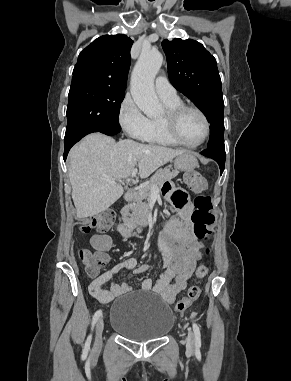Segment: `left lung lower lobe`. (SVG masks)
Wrapping results in <instances>:
<instances>
[{
	"instance_id": "obj_1",
	"label": "left lung lower lobe",
	"mask_w": 291,
	"mask_h": 381,
	"mask_svg": "<svg viewBox=\"0 0 291 381\" xmlns=\"http://www.w3.org/2000/svg\"><path fill=\"white\" fill-rule=\"evenodd\" d=\"M202 155L214 159L220 166L221 174L225 166V149H205L201 152Z\"/></svg>"
}]
</instances>
